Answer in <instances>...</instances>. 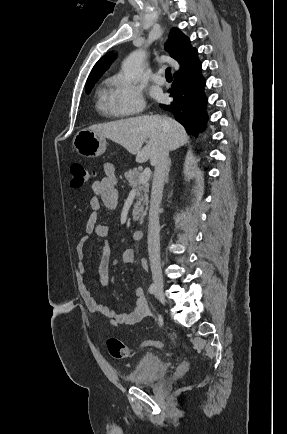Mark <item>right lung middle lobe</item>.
<instances>
[{"mask_svg": "<svg viewBox=\"0 0 287 434\" xmlns=\"http://www.w3.org/2000/svg\"><path fill=\"white\" fill-rule=\"evenodd\" d=\"M96 82H97V81L90 82V83H87V84H86L85 92H86L87 94L90 93L92 87L94 86V84H95Z\"/></svg>", "mask_w": 287, "mask_h": 434, "instance_id": "right-lung-middle-lobe-1", "label": "right lung middle lobe"}]
</instances>
